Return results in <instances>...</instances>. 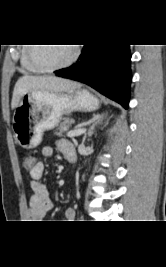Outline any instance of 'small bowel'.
<instances>
[{"instance_id": "obj_1", "label": "small bowel", "mask_w": 166, "mask_h": 267, "mask_svg": "<svg viewBox=\"0 0 166 267\" xmlns=\"http://www.w3.org/2000/svg\"><path fill=\"white\" fill-rule=\"evenodd\" d=\"M58 150L70 161L75 159V149L73 144L65 139H60L56 142ZM41 155L45 158L53 155V148L45 146L41 149ZM45 165L41 161H37L32 169L29 170L31 177L30 187L33 192L29 203V217L33 220L44 218L54 207V203L49 196L46 186L41 182L44 174ZM75 217L73 209H67L62 218V222H72Z\"/></svg>"}]
</instances>
